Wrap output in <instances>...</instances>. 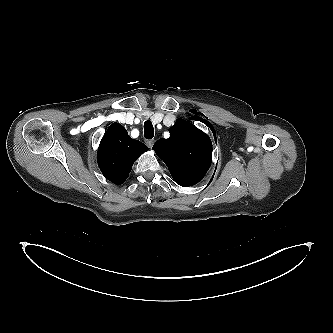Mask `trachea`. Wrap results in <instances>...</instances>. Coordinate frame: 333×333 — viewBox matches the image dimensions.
Listing matches in <instances>:
<instances>
[{
    "label": "trachea",
    "instance_id": "3493384b",
    "mask_svg": "<svg viewBox=\"0 0 333 333\" xmlns=\"http://www.w3.org/2000/svg\"><path fill=\"white\" fill-rule=\"evenodd\" d=\"M154 136V128L151 121L147 120L144 123V137L146 139H152Z\"/></svg>",
    "mask_w": 333,
    "mask_h": 333
}]
</instances>
